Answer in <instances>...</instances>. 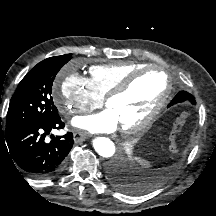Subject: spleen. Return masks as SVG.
Returning a JSON list of instances; mask_svg holds the SVG:
<instances>
[{
    "mask_svg": "<svg viewBox=\"0 0 216 216\" xmlns=\"http://www.w3.org/2000/svg\"><path fill=\"white\" fill-rule=\"evenodd\" d=\"M135 160L144 168H148L151 166L150 163L144 159L136 158Z\"/></svg>",
    "mask_w": 216,
    "mask_h": 216,
    "instance_id": "obj_1",
    "label": "spleen"
}]
</instances>
